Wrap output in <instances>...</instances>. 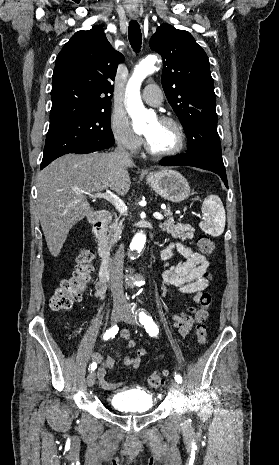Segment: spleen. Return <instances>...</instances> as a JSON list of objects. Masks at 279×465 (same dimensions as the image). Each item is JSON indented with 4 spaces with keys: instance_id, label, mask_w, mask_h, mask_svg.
Masks as SVG:
<instances>
[{
    "instance_id": "obj_1",
    "label": "spleen",
    "mask_w": 279,
    "mask_h": 465,
    "mask_svg": "<svg viewBox=\"0 0 279 465\" xmlns=\"http://www.w3.org/2000/svg\"><path fill=\"white\" fill-rule=\"evenodd\" d=\"M203 221L200 228L212 236L224 232L226 216L223 204L218 196H208L202 205Z\"/></svg>"
}]
</instances>
